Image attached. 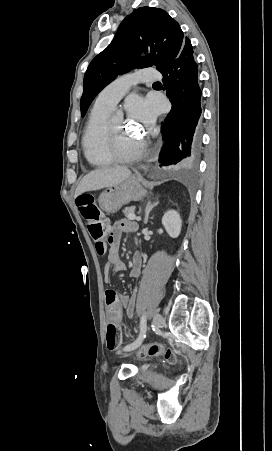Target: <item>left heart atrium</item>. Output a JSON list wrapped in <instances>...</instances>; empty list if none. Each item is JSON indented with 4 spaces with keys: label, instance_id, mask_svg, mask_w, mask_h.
I'll list each match as a JSON object with an SVG mask.
<instances>
[{
    "label": "left heart atrium",
    "instance_id": "left-heart-atrium-1",
    "mask_svg": "<svg viewBox=\"0 0 272 451\" xmlns=\"http://www.w3.org/2000/svg\"><path fill=\"white\" fill-rule=\"evenodd\" d=\"M127 111L130 122L138 128L151 129L154 124L156 109L154 104L148 99L133 98L127 104Z\"/></svg>",
    "mask_w": 272,
    "mask_h": 451
}]
</instances>
